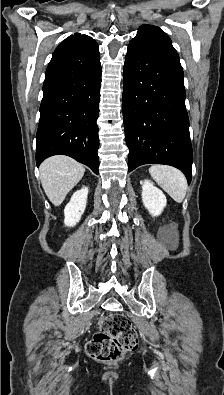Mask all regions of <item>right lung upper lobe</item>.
I'll return each instance as SVG.
<instances>
[{
    "label": "right lung upper lobe",
    "instance_id": "cb5924a9",
    "mask_svg": "<svg viewBox=\"0 0 224 395\" xmlns=\"http://www.w3.org/2000/svg\"><path fill=\"white\" fill-rule=\"evenodd\" d=\"M73 37L77 40V43L81 49L87 52H95L98 50V45L93 38L87 35L75 34Z\"/></svg>",
    "mask_w": 224,
    "mask_h": 395
}]
</instances>
